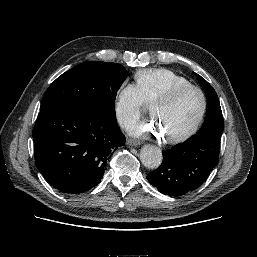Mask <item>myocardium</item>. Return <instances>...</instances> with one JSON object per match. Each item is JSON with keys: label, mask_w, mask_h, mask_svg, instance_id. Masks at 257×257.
Masks as SVG:
<instances>
[{"label": "myocardium", "mask_w": 257, "mask_h": 257, "mask_svg": "<svg viewBox=\"0 0 257 257\" xmlns=\"http://www.w3.org/2000/svg\"><path fill=\"white\" fill-rule=\"evenodd\" d=\"M187 91H196L199 94L201 99V109L198 117L187 130L176 135L167 136V140L170 142L184 141L196 133V131L201 126L207 113L208 101H207L206 94L200 87L192 84H187V85H182V86L173 88L172 90L158 97L151 105V114L154 115L153 108L155 106L163 105V104H171Z\"/></svg>", "instance_id": "obj_1"}]
</instances>
